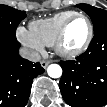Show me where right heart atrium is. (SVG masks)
<instances>
[{
  "instance_id": "obj_1",
  "label": "right heart atrium",
  "mask_w": 107,
  "mask_h": 107,
  "mask_svg": "<svg viewBox=\"0 0 107 107\" xmlns=\"http://www.w3.org/2000/svg\"><path fill=\"white\" fill-rule=\"evenodd\" d=\"M17 38L23 45L34 52L42 53L44 51V45L32 34L30 30H27L24 27H19L17 29Z\"/></svg>"
}]
</instances>
